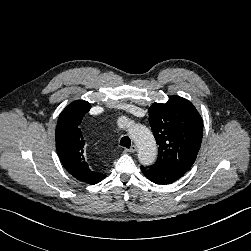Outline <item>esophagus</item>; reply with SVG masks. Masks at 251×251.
<instances>
[{
	"label": "esophagus",
	"mask_w": 251,
	"mask_h": 251,
	"mask_svg": "<svg viewBox=\"0 0 251 251\" xmlns=\"http://www.w3.org/2000/svg\"><path fill=\"white\" fill-rule=\"evenodd\" d=\"M127 151L130 152V153L136 152L137 151L136 145H132L129 149H127Z\"/></svg>",
	"instance_id": "34e87169"
}]
</instances>
